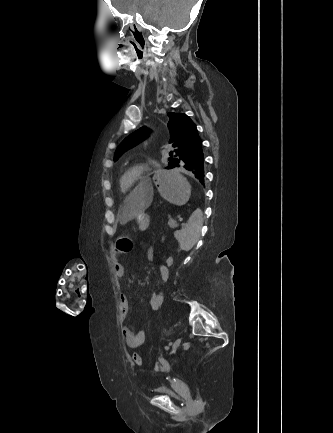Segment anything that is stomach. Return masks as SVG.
<instances>
[{"label": "stomach", "instance_id": "0dacf381", "mask_svg": "<svg viewBox=\"0 0 333 433\" xmlns=\"http://www.w3.org/2000/svg\"><path fill=\"white\" fill-rule=\"evenodd\" d=\"M150 183H157L158 190L163 199L181 207L191 199V190L187 180L180 174L179 169H157L155 174H150ZM137 221L141 228H146L149 223V216L143 212L137 215Z\"/></svg>", "mask_w": 333, "mask_h": 433}]
</instances>
